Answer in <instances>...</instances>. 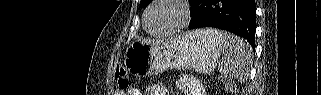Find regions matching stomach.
Wrapping results in <instances>:
<instances>
[{
    "mask_svg": "<svg viewBox=\"0 0 321 95\" xmlns=\"http://www.w3.org/2000/svg\"><path fill=\"white\" fill-rule=\"evenodd\" d=\"M203 30L167 42L135 40L126 49L124 65L136 76H150L168 69L212 72L222 54V43Z\"/></svg>",
    "mask_w": 321,
    "mask_h": 95,
    "instance_id": "0dacf381",
    "label": "stomach"
}]
</instances>
